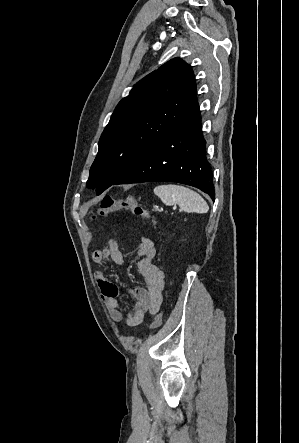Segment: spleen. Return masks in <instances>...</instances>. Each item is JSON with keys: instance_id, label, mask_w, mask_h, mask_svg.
I'll return each instance as SVG.
<instances>
[{"instance_id": "spleen-1", "label": "spleen", "mask_w": 299, "mask_h": 443, "mask_svg": "<svg viewBox=\"0 0 299 443\" xmlns=\"http://www.w3.org/2000/svg\"><path fill=\"white\" fill-rule=\"evenodd\" d=\"M157 195L165 205H179L184 212L198 214L207 213V202L195 191L180 185L168 184L154 188Z\"/></svg>"}]
</instances>
